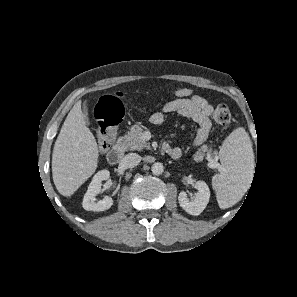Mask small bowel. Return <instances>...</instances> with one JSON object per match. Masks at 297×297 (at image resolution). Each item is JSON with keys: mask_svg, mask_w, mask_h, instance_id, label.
<instances>
[{"mask_svg": "<svg viewBox=\"0 0 297 297\" xmlns=\"http://www.w3.org/2000/svg\"><path fill=\"white\" fill-rule=\"evenodd\" d=\"M213 111V105L204 97L192 95L189 98H177L167 102L160 112L151 115L150 122L154 125H160L164 121V114L173 113L181 117L190 118L198 124V129L193 140V147L199 148L207 139L212 127L210 116ZM169 150V155L178 159L182 155L179 147H171L164 144Z\"/></svg>", "mask_w": 297, "mask_h": 297, "instance_id": "c3829d8e", "label": "small bowel"}]
</instances>
